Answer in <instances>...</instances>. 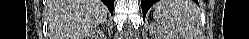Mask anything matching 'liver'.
<instances>
[{"mask_svg": "<svg viewBox=\"0 0 249 39\" xmlns=\"http://www.w3.org/2000/svg\"><path fill=\"white\" fill-rule=\"evenodd\" d=\"M47 12L50 26L70 39H88L108 14L100 0H49Z\"/></svg>", "mask_w": 249, "mask_h": 39, "instance_id": "obj_1", "label": "liver"}]
</instances>
